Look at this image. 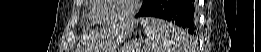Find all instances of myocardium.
Here are the masks:
<instances>
[{
  "mask_svg": "<svg viewBox=\"0 0 261 52\" xmlns=\"http://www.w3.org/2000/svg\"><path fill=\"white\" fill-rule=\"evenodd\" d=\"M95 1L98 3V7L94 12L97 22L99 24H106V25L118 24L130 20L136 14L138 10V5L140 3V0H130L131 2H130L129 10L123 16H121L116 20L105 21L99 18V13L103 9H105L106 3L103 0H95Z\"/></svg>",
  "mask_w": 261,
  "mask_h": 52,
  "instance_id": "1",
  "label": "myocardium"
}]
</instances>
